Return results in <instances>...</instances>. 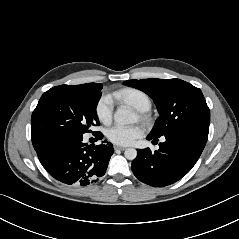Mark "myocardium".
Returning a JSON list of instances; mask_svg holds the SVG:
<instances>
[{"label":"myocardium","instance_id":"obj_1","mask_svg":"<svg viewBox=\"0 0 239 239\" xmlns=\"http://www.w3.org/2000/svg\"><path fill=\"white\" fill-rule=\"evenodd\" d=\"M141 117H142L143 119H146V116H145V115H141Z\"/></svg>","mask_w":239,"mask_h":239}]
</instances>
